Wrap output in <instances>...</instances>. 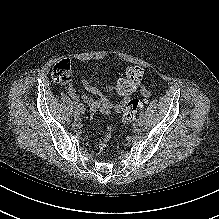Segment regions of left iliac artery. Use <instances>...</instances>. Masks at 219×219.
I'll use <instances>...</instances> for the list:
<instances>
[{
  "mask_svg": "<svg viewBox=\"0 0 219 219\" xmlns=\"http://www.w3.org/2000/svg\"><path fill=\"white\" fill-rule=\"evenodd\" d=\"M140 116H144V113L142 112V113H140Z\"/></svg>",
  "mask_w": 219,
  "mask_h": 219,
  "instance_id": "1",
  "label": "left iliac artery"
}]
</instances>
